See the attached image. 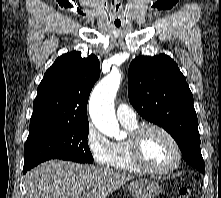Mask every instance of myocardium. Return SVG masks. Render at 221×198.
<instances>
[{"label":"myocardium","mask_w":221,"mask_h":198,"mask_svg":"<svg viewBox=\"0 0 221 198\" xmlns=\"http://www.w3.org/2000/svg\"><path fill=\"white\" fill-rule=\"evenodd\" d=\"M149 130H156L165 135L170 142L172 143L175 153L176 159L175 162L168 168L165 169H155L150 167L144 160L142 154V141L145 133ZM128 144L131 152V157L135 165L142 171L155 176H163L174 172L181 164L182 161V150L179 142L174 137V135L167 130L165 127L155 124V123H147L138 126L131 134L128 139Z\"/></svg>","instance_id":"f54148a6"}]
</instances>
